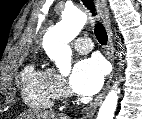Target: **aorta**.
<instances>
[{
    "mask_svg": "<svg viewBox=\"0 0 142 119\" xmlns=\"http://www.w3.org/2000/svg\"><path fill=\"white\" fill-rule=\"evenodd\" d=\"M86 22L87 15L83 11L77 8L65 9L61 21L47 31L43 37L44 51L51 60L55 61L63 75H68L71 71L72 52L68 43L80 33ZM119 92L116 83L102 103L97 119H113Z\"/></svg>",
    "mask_w": 142,
    "mask_h": 119,
    "instance_id": "762f6f07",
    "label": "aorta"
}]
</instances>
